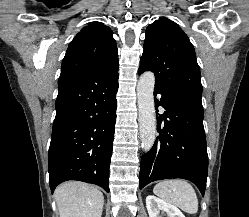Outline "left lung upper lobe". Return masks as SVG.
<instances>
[{"mask_svg":"<svg viewBox=\"0 0 249 217\" xmlns=\"http://www.w3.org/2000/svg\"><path fill=\"white\" fill-rule=\"evenodd\" d=\"M153 71L155 85L202 95L200 69L195 50L184 31L161 17L146 29L138 72Z\"/></svg>","mask_w":249,"mask_h":217,"instance_id":"obj_1","label":"left lung upper lobe"}]
</instances>
